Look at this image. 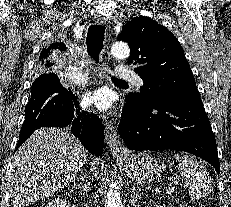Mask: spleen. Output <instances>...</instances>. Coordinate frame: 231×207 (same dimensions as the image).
<instances>
[{"mask_svg": "<svg viewBox=\"0 0 231 207\" xmlns=\"http://www.w3.org/2000/svg\"><path fill=\"white\" fill-rule=\"evenodd\" d=\"M179 172L186 185L190 187V196L199 199L213 191V183L206 169L189 155L175 154Z\"/></svg>", "mask_w": 231, "mask_h": 207, "instance_id": "spleen-1", "label": "spleen"}]
</instances>
